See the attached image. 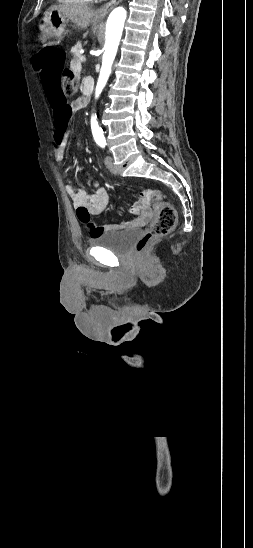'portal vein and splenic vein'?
Returning a JSON list of instances; mask_svg holds the SVG:
<instances>
[{"instance_id":"1","label":"portal vein and splenic vein","mask_w":253,"mask_h":548,"mask_svg":"<svg viewBox=\"0 0 253 548\" xmlns=\"http://www.w3.org/2000/svg\"><path fill=\"white\" fill-rule=\"evenodd\" d=\"M80 60H81L82 62L86 61L85 56H81Z\"/></svg>"}]
</instances>
